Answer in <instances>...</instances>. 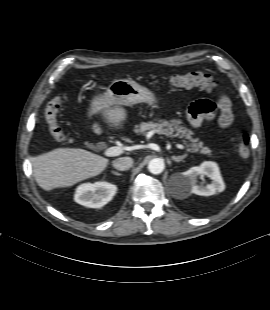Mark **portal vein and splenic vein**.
I'll list each match as a JSON object with an SVG mask.
<instances>
[{
    "instance_id": "portal-vein-and-splenic-vein-1",
    "label": "portal vein and splenic vein",
    "mask_w": 270,
    "mask_h": 310,
    "mask_svg": "<svg viewBox=\"0 0 270 310\" xmlns=\"http://www.w3.org/2000/svg\"><path fill=\"white\" fill-rule=\"evenodd\" d=\"M176 147L179 149H185V146L182 144H176ZM123 152H124V149L122 147L114 146V147L107 148L104 151V155L108 157H113V156H118L122 154Z\"/></svg>"
}]
</instances>
